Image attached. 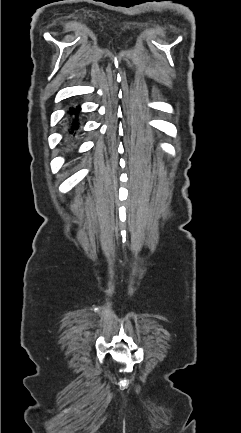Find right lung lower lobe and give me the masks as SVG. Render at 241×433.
Masks as SVG:
<instances>
[{
  "instance_id": "98d812e1",
  "label": "right lung lower lobe",
  "mask_w": 241,
  "mask_h": 433,
  "mask_svg": "<svg viewBox=\"0 0 241 433\" xmlns=\"http://www.w3.org/2000/svg\"><path fill=\"white\" fill-rule=\"evenodd\" d=\"M81 110L80 106L75 108H70L68 111V116L66 119V139H68L69 143L74 141L77 132H79V111Z\"/></svg>"
}]
</instances>
